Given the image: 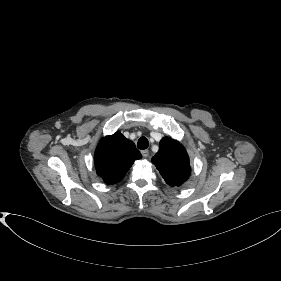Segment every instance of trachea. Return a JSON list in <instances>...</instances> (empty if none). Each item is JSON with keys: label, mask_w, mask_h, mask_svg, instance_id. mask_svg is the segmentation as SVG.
Returning a JSON list of instances; mask_svg holds the SVG:
<instances>
[{"label": "trachea", "mask_w": 281, "mask_h": 281, "mask_svg": "<svg viewBox=\"0 0 281 281\" xmlns=\"http://www.w3.org/2000/svg\"><path fill=\"white\" fill-rule=\"evenodd\" d=\"M149 142L146 137H141L137 142V147L141 150L148 148Z\"/></svg>", "instance_id": "obj_1"}]
</instances>
